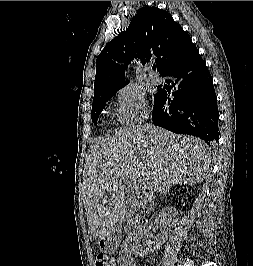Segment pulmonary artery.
<instances>
[{
  "mask_svg": "<svg viewBox=\"0 0 253 266\" xmlns=\"http://www.w3.org/2000/svg\"><path fill=\"white\" fill-rule=\"evenodd\" d=\"M151 80L155 84L161 83V78L158 75L154 74V73H151Z\"/></svg>",
  "mask_w": 253,
  "mask_h": 266,
  "instance_id": "obj_1",
  "label": "pulmonary artery"
}]
</instances>
